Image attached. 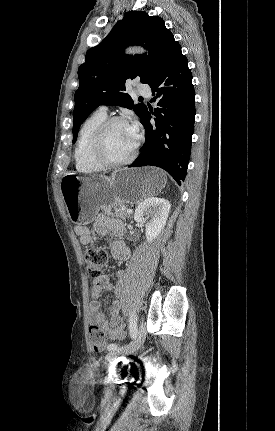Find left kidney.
<instances>
[{
    "mask_svg": "<svg viewBox=\"0 0 275 431\" xmlns=\"http://www.w3.org/2000/svg\"><path fill=\"white\" fill-rule=\"evenodd\" d=\"M170 207L168 200L157 197L147 198L137 206L134 220L145 223L147 242H152L164 228Z\"/></svg>",
    "mask_w": 275,
    "mask_h": 431,
    "instance_id": "left-kidney-1",
    "label": "left kidney"
}]
</instances>
